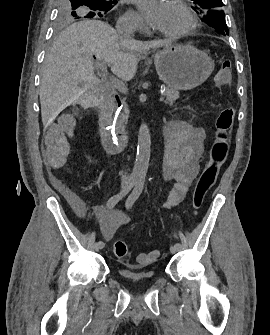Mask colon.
<instances>
[{"label": "colon", "instance_id": "1", "mask_svg": "<svg viewBox=\"0 0 270 335\" xmlns=\"http://www.w3.org/2000/svg\"><path fill=\"white\" fill-rule=\"evenodd\" d=\"M232 61L225 60L217 73L215 84L217 87L225 86L231 81ZM235 109L223 107L215 120L216 140L214 141L209 160L198 177L192 197L193 215L196 216L202 207L205 196L215 184L220 167L226 160L229 150V130L233 125ZM113 251L116 257L125 259L128 254L127 243L123 240H115ZM159 257L157 250L142 252L137 255L138 265L145 266L153 263Z\"/></svg>", "mask_w": 270, "mask_h": 335}]
</instances>
